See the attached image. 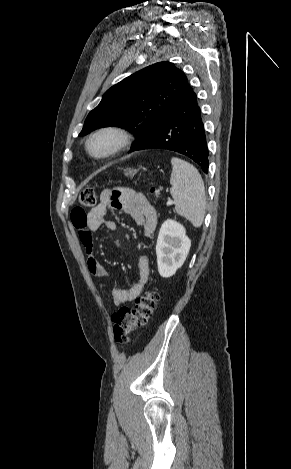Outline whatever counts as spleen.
<instances>
[{
  "mask_svg": "<svg viewBox=\"0 0 291 469\" xmlns=\"http://www.w3.org/2000/svg\"><path fill=\"white\" fill-rule=\"evenodd\" d=\"M170 193L174 199L175 212L189 220L196 228L200 227L205 217V187L198 170L189 162L172 158Z\"/></svg>",
  "mask_w": 291,
  "mask_h": 469,
  "instance_id": "1",
  "label": "spleen"
}]
</instances>
